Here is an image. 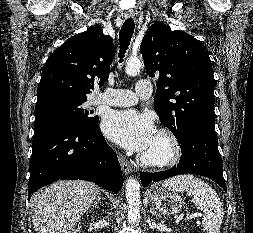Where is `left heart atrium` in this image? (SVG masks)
Returning <instances> with one entry per match:
<instances>
[{"instance_id":"obj_1","label":"left heart atrium","mask_w":253,"mask_h":233,"mask_svg":"<svg viewBox=\"0 0 253 233\" xmlns=\"http://www.w3.org/2000/svg\"><path fill=\"white\" fill-rule=\"evenodd\" d=\"M101 127L107 138L133 152H144L156 135L151 117L134 110L110 112Z\"/></svg>"}]
</instances>
